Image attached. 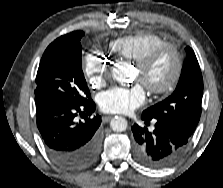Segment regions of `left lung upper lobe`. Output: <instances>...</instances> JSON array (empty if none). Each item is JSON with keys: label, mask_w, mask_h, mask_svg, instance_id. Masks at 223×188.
Listing matches in <instances>:
<instances>
[{"label": "left lung upper lobe", "mask_w": 223, "mask_h": 188, "mask_svg": "<svg viewBox=\"0 0 223 188\" xmlns=\"http://www.w3.org/2000/svg\"><path fill=\"white\" fill-rule=\"evenodd\" d=\"M185 50L187 58L175 91L143 111L142 115L163 122L190 137L201 115L203 79L194 51L190 47Z\"/></svg>", "instance_id": "left-lung-upper-lobe-1"}]
</instances>
